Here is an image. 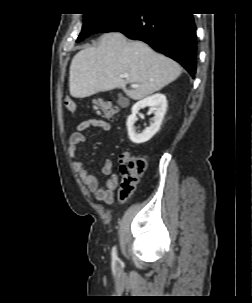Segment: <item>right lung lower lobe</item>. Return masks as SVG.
Segmentation results:
<instances>
[{
  "instance_id": "right-lung-lower-lobe-1",
  "label": "right lung lower lobe",
  "mask_w": 252,
  "mask_h": 303,
  "mask_svg": "<svg viewBox=\"0 0 252 303\" xmlns=\"http://www.w3.org/2000/svg\"><path fill=\"white\" fill-rule=\"evenodd\" d=\"M101 33L121 32L148 43L154 50L179 62L194 78L197 37L192 14L178 9H131L104 27Z\"/></svg>"
}]
</instances>
